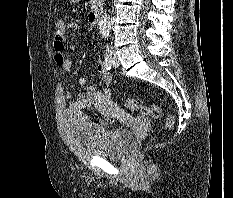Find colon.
<instances>
[{"label": "colon", "mask_w": 233, "mask_h": 198, "mask_svg": "<svg viewBox=\"0 0 233 198\" xmlns=\"http://www.w3.org/2000/svg\"><path fill=\"white\" fill-rule=\"evenodd\" d=\"M64 20H58L55 26V33L62 34L64 32ZM125 105L131 110L140 109L142 113L146 116H149L153 119H158L162 115V109L159 105H150V106H140L139 102L133 98H127L125 100ZM174 119L171 114L166 116L165 126L170 128L173 125Z\"/></svg>", "instance_id": "5ec220e1"}]
</instances>
